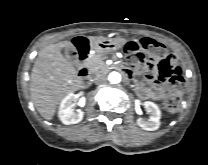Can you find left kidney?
Segmentation results:
<instances>
[{"label": "left kidney", "mask_w": 208, "mask_h": 165, "mask_svg": "<svg viewBox=\"0 0 208 165\" xmlns=\"http://www.w3.org/2000/svg\"><path fill=\"white\" fill-rule=\"evenodd\" d=\"M144 108H146L150 112V119L148 121L138 118L137 124L142 129L147 131H154L160 127V118L161 111L156 104L150 101H146L143 103Z\"/></svg>", "instance_id": "1"}]
</instances>
